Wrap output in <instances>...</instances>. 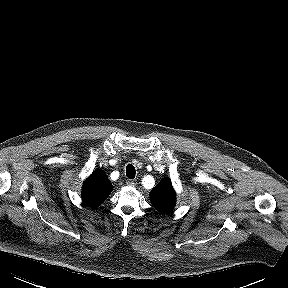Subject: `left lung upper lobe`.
Listing matches in <instances>:
<instances>
[{"mask_svg":"<svg viewBox=\"0 0 288 288\" xmlns=\"http://www.w3.org/2000/svg\"><path fill=\"white\" fill-rule=\"evenodd\" d=\"M150 200L153 206L160 212L171 211L175 206V191L171 181L164 178L150 192Z\"/></svg>","mask_w":288,"mask_h":288,"instance_id":"left-lung-upper-lobe-1","label":"left lung upper lobe"}]
</instances>
